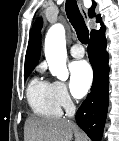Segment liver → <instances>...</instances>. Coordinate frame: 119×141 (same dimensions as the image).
Wrapping results in <instances>:
<instances>
[{"instance_id": "liver-1", "label": "liver", "mask_w": 119, "mask_h": 141, "mask_svg": "<svg viewBox=\"0 0 119 141\" xmlns=\"http://www.w3.org/2000/svg\"><path fill=\"white\" fill-rule=\"evenodd\" d=\"M73 134L78 141L87 140L67 119L29 117L25 121L26 141H71Z\"/></svg>"}]
</instances>
